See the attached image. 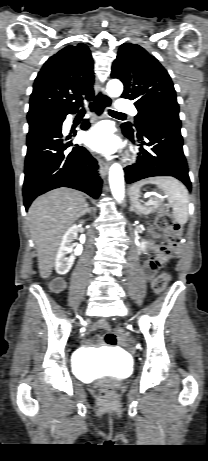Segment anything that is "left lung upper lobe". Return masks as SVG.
I'll use <instances>...</instances> for the list:
<instances>
[{
    "mask_svg": "<svg viewBox=\"0 0 208 461\" xmlns=\"http://www.w3.org/2000/svg\"><path fill=\"white\" fill-rule=\"evenodd\" d=\"M111 77L124 84L121 97L135 101L137 130L155 117L179 118L176 92L168 72L141 46L131 43L120 46ZM122 129L134 132L130 123L123 124Z\"/></svg>",
    "mask_w": 208,
    "mask_h": 461,
    "instance_id": "1",
    "label": "left lung upper lobe"
}]
</instances>
